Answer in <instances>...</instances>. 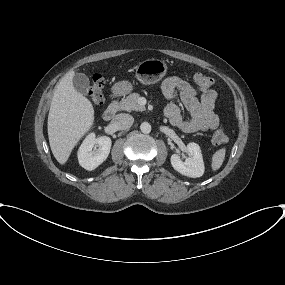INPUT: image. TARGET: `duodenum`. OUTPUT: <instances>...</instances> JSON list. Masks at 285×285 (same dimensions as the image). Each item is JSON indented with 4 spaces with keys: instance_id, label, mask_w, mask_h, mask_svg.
Wrapping results in <instances>:
<instances>
[{
    "instance_id": "410a0bca",
    "label": "duodenum",
    "mask_w": 285,
    "mask_h": 285,
    "mask_svg": "<svg viewBox=\"0 0 285 285\" xmlns=\"http://www.w3.org/2000/svg\"><path fill=\"white\" fill-rule=\"evenodd\" d=\"M116 112H117V106L115 104H110L103 111L102 117L105 121H110L114 118Z\"/></svg>"
}]
</instances>
